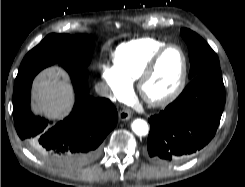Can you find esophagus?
<instances>
[{
  "label": "esophagus",
  "mask_w": 245,
  "mask_h": 187,
  "mask_svg": "<svg viewBox=\"0 0 245 187\" xmlns=\"http://www.w3.org/2000/svg\"><path fill=\"white\" fill-rule=\"evenodd\" d=\"M132 117V113L129 110H121L119 112V119L121 121L129 120Z\"/></svg>",
  "instance_id": "34e87169"
}]
</instances>
